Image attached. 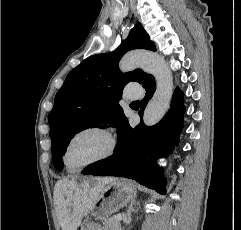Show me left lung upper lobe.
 Returning <instances> with one entry per match:
<instances>
[{
    "label": "left lung upper lobe",
    "mask_w": 241,
    "mask_h": 230,
    "mask_svg": "<svg viewBox=\"0 0 241 230\" xmlns=\"http://www.w3.org/2000/svg\"><path fill=\"white\" fill-rule=\"evenodd\" d=\"M132 49L156 50L141 23L115 51L90 56L68 74L49 114L55 168L62 170V154L76 133L95 124L112 123L118 129L126 118L118 103L123 88L130 81L144 85L151 77L140 69L120 72L119 60Z\"/></svg>",
    "instance_id": "left-lung-upper-lobe-1"
}]
</instances>
